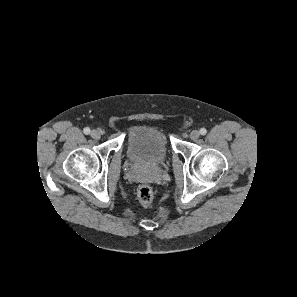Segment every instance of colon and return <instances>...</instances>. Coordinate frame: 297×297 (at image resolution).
Listing matches in <instances>:
<instances>
[{
	"label": "colon",
	"instance_id": "obj_1",
	"mask_svg": "<svg viewBox=\"0 0 297 297\" xmlns=\"http://www.w3.org/2000/svg\"><path fill=\"white\" fill-rule=\"evenodd\" d=\"M138 200L142 206L147 207L153 201V191L148 185H142L138 189Z\"/></svg>",
	"mask_w": 297,
	"mask_h": 297
}]
</instances>
